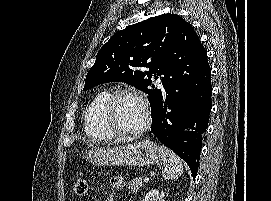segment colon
<instances>
[{
    "label": "colon",
    "mask_w": 271,
    "mask_h": 201,
    "mask_svg": "<svg viewBox=\"0 0 271 201\" xmlns=\"http://www.w3.org/2000/svg\"><path fill=\"white\" fill-rule=\"evenodd\" d=\"M88 190V182L87 178L85 177L84 174H80L74 184V192L78 196L85 195Z\"/></svg>",
    "instance_id": "obj_1"
}]
</instances>
